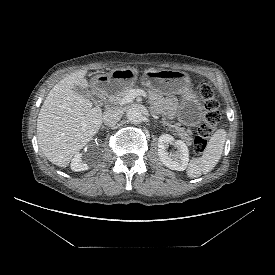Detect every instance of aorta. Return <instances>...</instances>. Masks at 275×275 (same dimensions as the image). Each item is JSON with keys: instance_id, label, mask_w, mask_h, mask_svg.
Listing matches in <instances>:
<instances>
[{"instance_id": "aorta-1", "label": "aorta", "mask_w": 275, "mask_h": 275, "mask_svg": "<svg viewBox=\"0 0 275 275\" xmlns=\"http://www.w3.org/2000/svg\"><path fill=\"white\" fill-rule=\"evenodd\" d=\"M127 118L133 124H138L143 121V114L137 107H130L127 110Z\"/></svg>"}]
</instances>
